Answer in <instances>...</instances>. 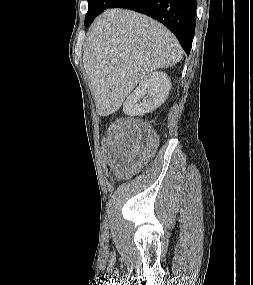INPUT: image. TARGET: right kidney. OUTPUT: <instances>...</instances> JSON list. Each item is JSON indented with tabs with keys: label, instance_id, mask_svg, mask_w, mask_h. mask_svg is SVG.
I'll list each match as a JSON object with an SVG mask.
<instances>
[{
	"label": "right kidney",
	"instance_id": "right-kidney-1",
	"mask_svg": "<svg viewBox=\"0 0 253 285\" xmlns=\"http://www.w3.org/2000/svg\"><path fill=\"white\" fill-rule=\"evenodd\" d=\"M171 82L161 71L149 73L127 97L123 109L127 115L139 116L159 108L167 99Z\"/></svg>",
	"mask_w": 253,
	"mask_h": 285
}]
</instances>
